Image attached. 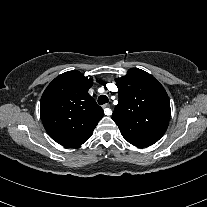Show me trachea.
I'll use <instances>...</instances> for the list:
<instances>
[{"label":"trachea","instance_id":"obj_1","mask_svg":"<svg viewBox=\"0 0 207 207\" xmlns=\"http://www.w3.org/2000/svg\"><path fill=\"white\" fill-rule=\"evenodd\" d=\"M109 99L106 95H100L98 98V104L103 105L105 103H108Z\"/></svg>","mask_w":207,"mask_h":207}]
</instances>
